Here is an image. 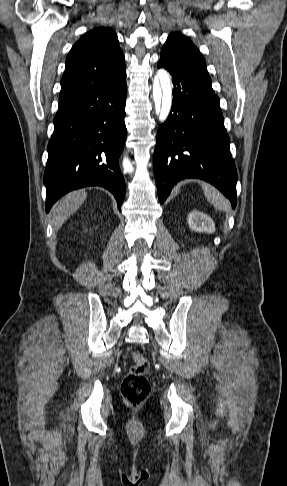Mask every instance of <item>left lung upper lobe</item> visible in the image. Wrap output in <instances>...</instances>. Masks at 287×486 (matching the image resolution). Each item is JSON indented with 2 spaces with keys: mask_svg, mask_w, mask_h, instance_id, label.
Returning <instances> with one entry per match:
<instances>
[{
  "mask_svg": "<svg viewBox=\"0 0 287 486\" xmlns=\"http://www.w3.org/2000/svg\"><path fill=\"white\" fill-rule=\"evenodd\" d=\"M161 59L211 87L204 57L193 42L182 34L169 35L162 48Z\"/></svg>",
  "mask_w": 287,
  "mask_h": 486,
  "instance_id": "1",
  "label": "left lung upper lobe"
}]
</instances>
